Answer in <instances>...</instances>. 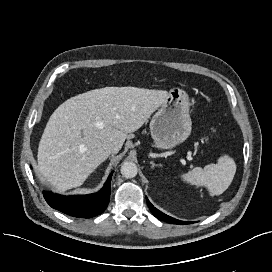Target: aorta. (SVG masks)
<instances>
[{
	"label": "aorta",
	"instance_id": "aorta-1",
	"mask_svg": "<svg viewBox=\"0 0 272 272\" xmlns=\"http://www.w3.org/2000/svg\"><path fill=\"white\" fill-rule=\"evenodd\" d=\"M137 166L133 162H124L121 166V174L125 178H133L137 175Z\"/></svg>",
	"mask_w": 272,
	"mask_h": 272
}]
</instances>
